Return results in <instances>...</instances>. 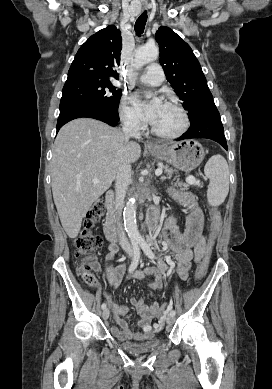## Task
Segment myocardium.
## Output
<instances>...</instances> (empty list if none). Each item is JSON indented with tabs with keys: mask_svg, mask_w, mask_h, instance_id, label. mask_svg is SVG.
Returning a JSON list of instances; mask_svg holds the SVG:
<instances>
[{
	"mask_svg": "<svg viewBox=\"0 0 272 389\" xmlns=\"http://www.w3.org/2000/svg\"><path fill=\"white\" fill-rule=\"evenodd\" d=\"M165 104L175 108L182 119V123L180 127L173 132H162L157 130L152 124H151V132L156 135L157 137L163 138V139H174L177 138L181 135H183L189 128L190 125V120H189V115L186 111V109L176 100H171L168 99L165 101Z\"/></svg>",
	"mask_w": 272,
	"mask_h": 389,
	"instance_id": "myocardium-1",
	"label": "myocardium"
}]
</instances>
